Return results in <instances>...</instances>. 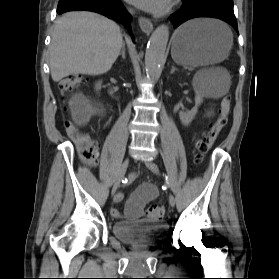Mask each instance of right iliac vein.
<instances>
[{
	"label": "right iliac vein",
	"instance_id": "right-iliac-vein-1",
	"mask_svg": "<svg viewBox=\"0 0 279 279\" xmlns=\"http://www.w3.org/2000/svg\"><path fill=\"white\" fill-rule=\"evenodd\" d=\"M128 165H129V158H126L123 161V163L121 165V168L119 170L118 176H117V178H116V180H115V182L113 184V187H112V195L113 196H115L116 193H117V190H118V188H119V186L121 184V181H122V179L125 176V173H126Z\"/></svg>",
	"mask_w": 279,
	"mask_h": 279
}]
</instances>
